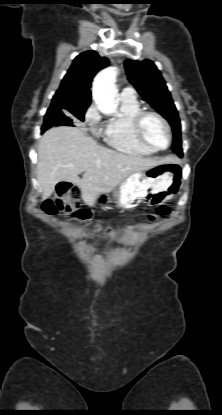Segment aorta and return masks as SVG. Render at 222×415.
<instances>
[{"label":"aorta","instance_id":"762f6f07","mask_svg":"<svg viewBox=\"0 0 222 415\" xmlns=\"http://www.w3.org/2000/svg\"><path fill=\"white\" fill-rule=\"evenodd\" d=\"M117 74V68L108 67L100 71L93 82V100L99 111L106 115L117 112L118 104L115 100Z\"/></svg>","mask_w":222,"mask_h":415}]
</instances>
